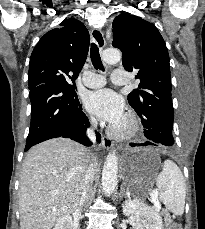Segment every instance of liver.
Wrapping results in <instances>:
<instances>
[{
	"label": "liver",
	"instance_id": "liver-1",
	"mask_svg": "<svg viewBox=\"0 0 205 229\" xmlns=\"http://www.w3.org/2000/svg\"><path fill=\"white\" fill-rule=\"evenodd\" d=\"M89 164L98 172L97 157L70 139L55 138L32 147L20 176V229H51L73 213Z\"/></svg>",
	"mask_w": 205,
	"mask_h": 229
}]
</instances>
